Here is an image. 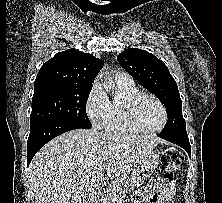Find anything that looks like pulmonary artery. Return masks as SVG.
<instances>
[{
    "instance_id": "1",
    "label": "pulmonary artery",
    "mask_w": 222,
    "mask_h": 203,
    "mask_svg": "<svg viewBox=\"0 0 222 203\" xmlns=\"http://www.w3.org/2000/svg\"><path fill=\"white\" fill-rule=\"evenodd\" d=\"M115 80L122 82V83H133L132 78L125 72L116 73Z\"/></svg>"
}]
</instances>
